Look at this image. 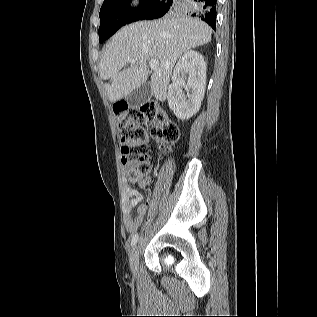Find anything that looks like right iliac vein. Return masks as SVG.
Instances as JSON below:
<instances>
[{"instance_id":"obj_1","label":"right iliac vein","mask_w":317,"mask_h":317,"mask_svg":"<svg viewBox=\"0 0 317 317\" xmlns=\"http://www.w3.org/2000/svg\"><path fill=\"white\" fill-rule=\"evenodd\" d=\"M139 254H140L139 246L135 245L131 252L130 260H129L130 268L134 275H137L138 273Z\"/></svg>"}]
</instances>
